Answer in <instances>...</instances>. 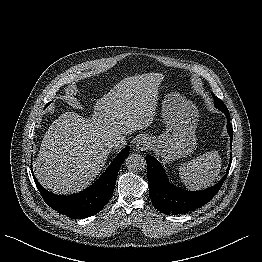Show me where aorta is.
I'll return each mask as SVG.
<instances>
[{"label":"aorta","instance_id":"aorta-1","mask_svg":"<svg viewBox=\"0 0 262 262\" xmlns=\"http://www.w3.org/2000/svg\"><path fill=\"white\" fill-rule=\"evenodd\" d=\"M126 166L129 170L140 171L146 168V161L144 157L138 154H131L125 160Z\"/></svg>","mask_w":262,"mask_h":262}]
</instances>
